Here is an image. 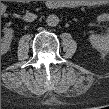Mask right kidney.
<instances>
[{
  "label": "right kidney",
  "mask_w": 109,
  "mask_h": 109,
  "mask_svg": "<svg viewBox=\"0 0 109 109\" xmlns=\"http://www.w3.org/2000/svg\"><path fill=\"white\" fill-rule=\"evenodd\" d=\"M13 38V30L6 29L5 35L1 39V53L5 54L10 49L11 40Z\"/></svg>",
  "instance_id": "1"
}]
</instances>
